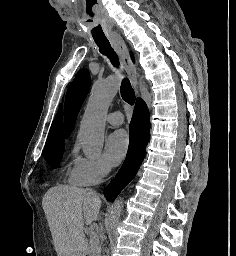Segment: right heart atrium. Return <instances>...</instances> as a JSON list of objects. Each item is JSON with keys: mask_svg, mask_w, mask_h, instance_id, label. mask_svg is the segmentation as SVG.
I'll return each mask as SVG.
<instances>
[{"mask_svg": "<svg viewBox=\"0 0 236 256\" xmlns=\"http://www.w3.org/2000/svg\"><path fill=\"white\" fill-rule=\"evenodd\" d=\"M111 164L103 155L91 158L81 155L76 149L69 171V183L80 187H90L102 183L110 174Z\"/></svg>", "mask_w": 236, "mask_h": 256, "instance_id": "1", "label": "right heart atrium"}]
</instances>
